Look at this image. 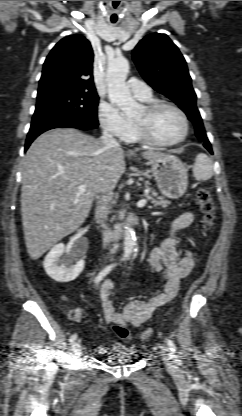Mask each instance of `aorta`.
<instances>
[{
	"instance_id": "1",
	"label": "aorta",
	"mask_w": 242,
	"mask_h": 416,
	"mask_svg": "<svg viewBox=\"0 0 242 416\" xmlns=\"http://www.w3.org/2000/svg\"><path fill=\"white\" fill-rule=\"evenodd\" d=\"M129 72V62L126 58H116L108 63L107 68V84L108 96L111 103L117 105L125 114H132L137 103L132 98L129 88L126 86L125 80ZM136 245V236L133 228L129 225L124 230V254L122 261L130 258Z\"/></svg>"
}]
</instances>
